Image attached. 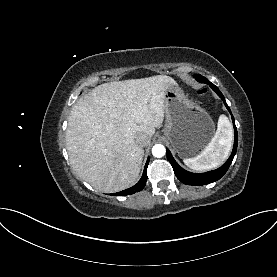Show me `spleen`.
I'll return each instance as SVG.
<instances>
[{"instance_id": "1", "label": "spleen", "mask_w": 277, "mask_h": 277, "mask_svg": "<svg viewBox=\"0 0 277 277\" xmlns=\"http://www.w3.org/2000/svg\"><path fill=\"white\" fill-rule=\"evenodd\" d=\"M233 141V130L229 119L220 115L217 130L211 142L196 157L183 159L184 164L196 171L218 167L229 156Z\"/></svg>"}]
</instances>
